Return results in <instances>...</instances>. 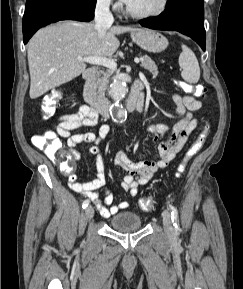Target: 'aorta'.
<instances>
[{
    "instance_id": "aorta-1",
    "label": "aorta",
    "mask_w": 243,
    "mask_h": 289,
    "mask_svg": "<svg viewBox=\"0 0 243 289\" xmlns=\"http://www.w3.org/2000/svg\"><path fill=\"white\" fill-rule=\"evenodd\" d=\"M111 96L115 102V113L119 120H125L127 117V112L123 109L121 101L124 99L127 88L123 81H116L111 85Z\"/></svg>"
}]
</instances>
